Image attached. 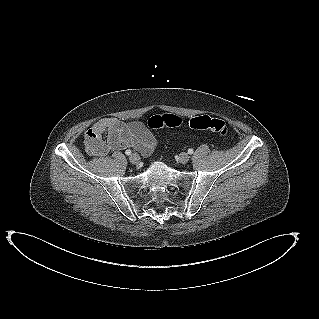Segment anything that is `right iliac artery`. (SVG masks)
I'll return each instance as SVG.
<instances>
[{"instance_id": "right-iliac-artery-1", "label": "right iliac artery", "mask_w": 319, "mask_h": 319, "mask_svg": "<svg viewBox=\"0 0 319 319\" xmlns=\"http://www.w3.org/2000/svg\"><path fill=\"white\" fill-rule=\"evenodd\" d=\"M125 154H126V155H130V154H131V150H126V151H125Z\"/></svg>"}]
</instances>
